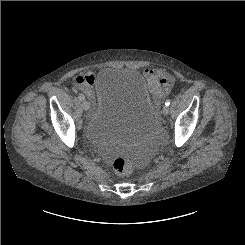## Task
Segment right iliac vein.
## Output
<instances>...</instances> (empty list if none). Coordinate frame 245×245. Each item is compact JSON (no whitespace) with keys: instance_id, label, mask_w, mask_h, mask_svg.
Returning <instances> with one entry per match:
<instances>
[{"instance_id":"63e3f726","label":"right iliac vein","mask_w":245,"mask_h":245,"mask_svg":"<svg viewBox=\"0 0 245 245\" xmlns=\"http://www.w3.org/2000/svg\"><path fill=\"white\" fill-rule=\"evenodd\" d=\"M82 107H83V109H84L85 111H88L89 108H90L89 102L86 101V100H84V101L82 102Z\"/></svg>"}]
</instances>
